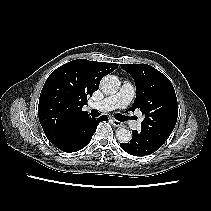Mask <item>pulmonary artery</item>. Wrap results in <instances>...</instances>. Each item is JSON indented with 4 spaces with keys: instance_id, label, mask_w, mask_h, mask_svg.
Returning <instances> with one entry per match:
<instances>
[{
    "instance_id": "1",
    "label": "pulmonary artery",
    "mask_w": 211,
    "mask_h": 211,
    "mask_svg": "<svg viewBox=\"0 0 211 211\" xmlns=\"http://www.w3.org/2000/svg\"><path fill=\"white\" fill-rule=\"evenodd\" d=\"M134 95V86L130 82L125 81L116 94L101 101L92 103L91 107L99 111H110L117 108H126L134 98ZM129 124L134 129L140 128V122L138 121H131Z\"/></svg>"
}]
</instances>
